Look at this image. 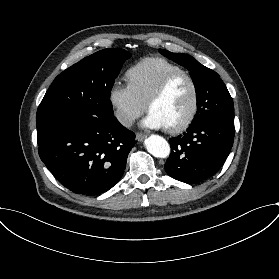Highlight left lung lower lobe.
Instances as JSON below:
<instances>
[{
	"mask_svg": "<svg viewBox=\"0 0 279 279\" xmlns=\"http://www.w3.org/2000/svg\"><path fill=\"white\" fill-rule=\"evenodd\" d=\"M234 120L208 117L191 123L183 135L171 138L167 174L181 182L197 183L224 164L234 142Z\"/></svg>",
	"mask_w": 279,
	"mask_h": 279,
	"instance_id": "1",
	"label": "left lung lower lobe"
}]
</instances>
